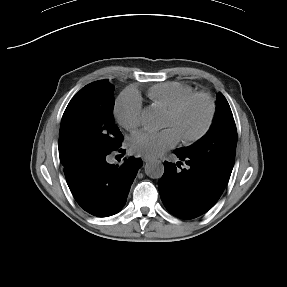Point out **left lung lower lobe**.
I'll return each instance as SVG.
<instances>
[{
    "instance_id": "1",
    "label": "left lung lower lobe",
    "mask_w": 287,
    "mask_h": 287,
    "mask_svg": "<svg viewBox=\"0 0 287 287\" xmlns=\"http://www.w3.org/2000/svg\"><path fill=\"white\" fill-rule=\"evenodd\" d=\"M187 169L164 162L165 171L158 187L162 202L173 215L193 219L207 212L220 198L227 181L203 161L190 153L175 150ZM182 163H177L180 166Z\"/></svg>"
}]
</instances>
